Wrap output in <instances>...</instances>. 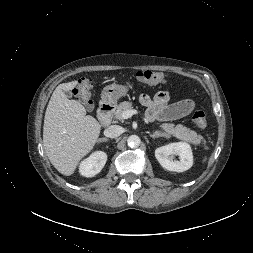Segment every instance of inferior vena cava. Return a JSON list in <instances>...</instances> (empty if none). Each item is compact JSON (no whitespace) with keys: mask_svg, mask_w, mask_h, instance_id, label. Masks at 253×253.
Listing matches in <instances>:
<instances>
[{"mask_svg":"<svg viewBox=\"0 0 253 253\" xmlns=\"http://www.w3.org/2000/svg\"><path fill=\"white\" fill-rule=\"evenodd\" d=\"M123 133V128L118 125H111L104 130V135L109 138H116Z\"/></svg>","mask_w":253,"mask_h":253,"instance_id":"inferior-vena-cava-1","label":"inferior vena cava"}]
</instances>
